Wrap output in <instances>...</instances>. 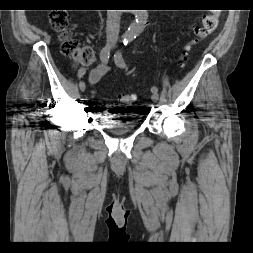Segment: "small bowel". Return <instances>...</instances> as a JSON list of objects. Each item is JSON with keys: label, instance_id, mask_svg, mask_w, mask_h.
Here are the masks:
<instances>
[{"label": "small bowel", "instance_id": "1", "mask_svg": "<svg viewBox=\"0 0 253 253\" xmlns=\"http://www.w3.org/2000/svg\"><path fill=\"white\" fill-rule=\"evenodd\" d=\"M111 71V67L108 64H101L92 69L88 74V81L90 84H97L104 75ZM85 74V69L79 70V75Z\"/></svg>", "mask_w": 253, "mask_h": 253}]
</instances>
